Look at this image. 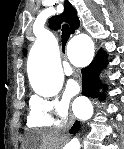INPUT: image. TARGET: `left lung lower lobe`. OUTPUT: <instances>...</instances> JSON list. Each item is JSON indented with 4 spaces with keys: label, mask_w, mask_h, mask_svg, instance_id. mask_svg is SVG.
I'll use <instances>...</instances> for the list:
<instances>
[{
    "label": "left lung lower lobe",
    "mask_w": 124,
    "mask_h": 149,
    "mask_svg": "<svg viewBox=\"0 0 124 149\" xmlns=\"http://www.w3.org/2000/svg\"><path fill=\"white\" fill-rule=\"evenodd\" d=\"M106 57V52L100 50L93 62L81 70L83 77L82 95L93 98L103 97L98 93L102 85L98 79V74L106 66Z\"/></svg>",
    "instance_id": "0a47b994"
}]
</instances>
